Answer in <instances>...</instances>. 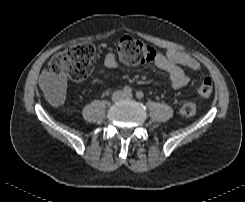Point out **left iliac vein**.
Segmentation results:
<instances>
[{
	"mask_svg": "<svg viewBox=\"0 0 245 202\" xmlns=\"http://www.w3.org/2000/svg\"><path fill=\"white\" fill-rule=\"evenodd\" d=\"M124 98H126V99H131V98H132V94H130V95H125Z\"/></svg>",
	"mask_w": 245,
	"mask_h": 202,
	"instance_id": "1",
	"label": "left iliac vein"
}]
</instances>
